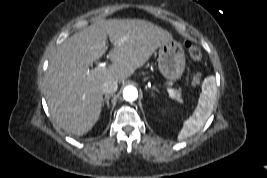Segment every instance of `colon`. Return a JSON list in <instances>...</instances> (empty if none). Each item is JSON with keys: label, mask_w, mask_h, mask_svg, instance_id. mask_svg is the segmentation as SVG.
<instances>
[{"label": "colon", "mask_w": 267, "mask_h": 178, "mask_svg": "<svg viewBox=\"0 0 267 178\" xmlns=\"http://www.w3.org/2000/svg\"><path fill=\"white\" fill-rule=\"evenodd\" d=\"M185 47L189 53V56L195 60V61H200L202 58V53L200 51V49L195 46L193 43L186 41L185 42ZM201 80V76L199 74H196L193 79H192V83L193 85H198L200 83Z\"/></svg>", "instance_id": "1"}]
</instances>
